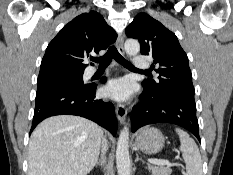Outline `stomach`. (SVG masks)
<instances>
[{
    "mask_svg": "<svg viewBox=\"0 0 233 175\" xmlns=\"http://www.w3.org/2000/svg\"><path fill=\"white\" fill-rule=\"evenodd\" d=\"M135 146L146 154H156L164 147L165 139L160 130L146 127L140 130L134 139Z\"/></svg>",
    "mask_w": 233,
    "mask_h": 175,
    "instance_id": "1",
    "label": "stomach"
}]
</instances>
